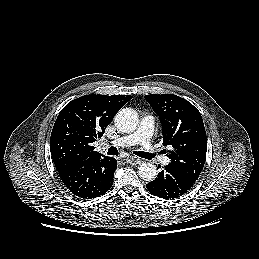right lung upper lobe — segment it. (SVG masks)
Listing matches in <instances>:
<instances>
[{
    "mask_svg": "<svg viewBox=\"0 0 259 259\" xmlns=\"http://www.w3.org/2000/svg\"><path fill=\"white\" fill-rule=\"evenodd\" d=\"M132 98L130 95H85L69 102L59 113L52 129L50 146L57 171L78 162L107 157L92 143L104 134L115 114Z\"/></svg>",
    "mask_w": 259,
    "mask_h": 259,
    "instance_id": "right-lung-upper-lobe-1",
    "label": "right lung upper lobe"
}]
</instances>
